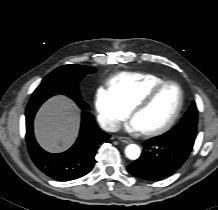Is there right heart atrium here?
<instances>
[{
  "label": "right heart atrium",
  "mask_w": 218,
  "mask_h": 210,
  "mask_svg": "<svg viewBox=\"0 0 218 210\" xmlns=\"http://www.w3.org/2000/svg\"><path fill=\"white\" fill-rule=\"evenodd\" d=\"M94 106L101 125L108 131L118 130L130 115V109L109 88L97 89Z\"/></svg>",
  "instance_id": "d8ad5b80"
}]
</instances>
